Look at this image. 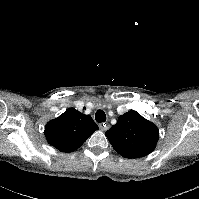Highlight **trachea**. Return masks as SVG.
<instances>
[{
	"mask_svg": "<svg viewBox=\"0 0 199 199\" xmlns=\"http://www.w3.org/2000/svg\"><path fill=\"white\" fill-rule=\"evenodd\" d=\"M95 120L98 122V123H101V122H105L106 121V114L103 110H98L95 114Z\"/></svg>",
	"mask_w": 199,
	"mask_h": 199,
	"instance_id": "trachea-1",
	"label": "trachea"
}]
</instances>
